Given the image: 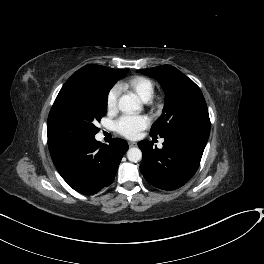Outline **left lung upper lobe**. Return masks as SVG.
<instances>
[{"label":"left lung upper lobe","mask_w":264,"mask_h":264,"mask_svg":"<svg viewBox=\"0 0 264 264\" xmlns=\"http://www.w3.org/2000/svg\"><path fill=\"white\" fill-rule=\"evenodd\" d=\"M138 72L157 79L166 93L163 113L152 125L151 136L164 138L186 125L210 128L205 99L200 88L190 78L170 65Z\"/></svg>","instance_id":"5c2ea615"}]
</instances>
